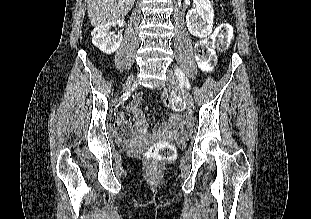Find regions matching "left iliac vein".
<instances>
[{
    "label": "left iliac vein",
    "mask_w": 311,
    "mask_h": 219,
    "mask_svg": "<svg viewBox=\"0 0 311 219\" xmlns=\"http://www.w3.org/2000/svg\"><path fill=\"white\" fill-rule=\"evenodd\" d=\"M167 85L170 88L177 90L179 92V94L181 95V97L183 98L184 102L189 107L193 106L192 95L189 93L188 90H186L185 88H183L179 85L176 74L170 69L167 70Z\"/></svg>",
    "instance_id": "1"
}]
</instances>
